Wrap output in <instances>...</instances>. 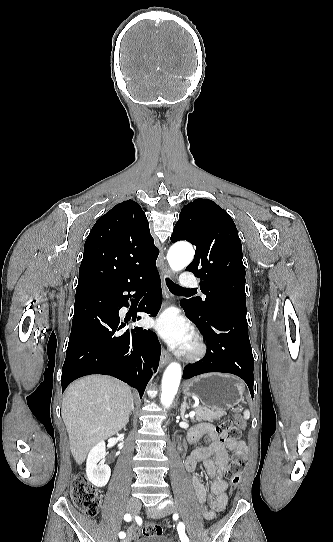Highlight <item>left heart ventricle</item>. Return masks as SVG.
Listing matches in <instances>:
<instances>
[{
  "mask_svg": "<svg viewBox=\"0 0 333 542\" xmlns=\"http://www.w3.org/2000/svg\"><path fill=\"white\" fill-rule=\"evenodd\" d=\"M189 344H190V342H189V343L187 344V346H186V347H188V346H189ZM186 347H185V348H186Z\"/></svg>",
  "mask_w": 333,
  "mask_h": 542,
  "instance_id": "left-heart-ventricle-1",
  "label": "left heart ventricle"
}]
</instances>
